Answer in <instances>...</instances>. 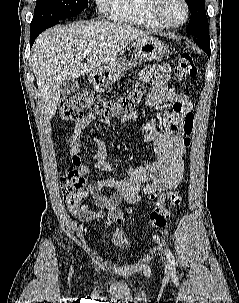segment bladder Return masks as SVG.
<instances>
[{
  "instance_id": "bladder-1",
  "label": "bladder",
  "mask_w": 239,
  "mask_h": 303,
  "mask_svg": "<svg viewBox=\"0 0 239 303\" xmlns=\"http://www.w3.org/2000/svg\"><path fill=\"white\" fill-rule=\"evenodd\" d=\"M110 245L117 250L126 249L129 245V241L126 236L121 235L118 237H114L110 240Z\"/></svg>"
}]
</instances>
